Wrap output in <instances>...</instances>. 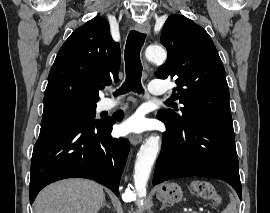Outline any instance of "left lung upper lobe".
Instances as JSON below:
<instances>
[{"label": "left lung upper lobe", "instance_id": "5c2ea615", "mask_svg": "<svg viewBox=\"0 0 270 213\" xmlns=\"http://www.w3.org/2000/svg\"><path fill=\"white\" fill-rule=\"evenodd\" d=\"M160 41L168 57L156 77L176 79L177 93L172 96L184 107L179 113L161 110L157 116L179 127L196 118L232 120L225 70L208 33L177 14L168 17Z\"/></svg>", "mask_w": 270, "mask_h": 213}]
</instances>
